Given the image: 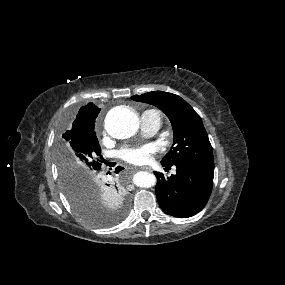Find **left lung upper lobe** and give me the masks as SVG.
<instances>
[{
	"mask_svg": "<svg viewBox=\"0 0 285 285\" xmlns=\"http://www.w3.org/2000/svg\"><path fill=\"white\" fill-rule=\"evenodd\" d=\"M131 98L158 107L171 121L173 146L161 160L162 165L170 167L187 163H214L212 146L202 120L185 100L163 91Z\"/></svg>",
	"mask_w": 285,
	"mask_h": 285,
	"instance_id": "obj_1",
	"label": "left lung upper lobe"
}]
</instances>
